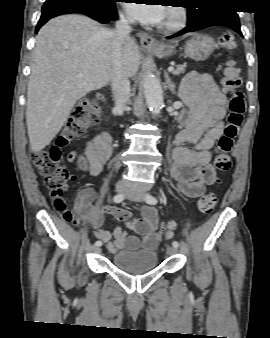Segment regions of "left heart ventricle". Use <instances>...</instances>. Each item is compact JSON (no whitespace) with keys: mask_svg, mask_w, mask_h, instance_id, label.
<instances>
[{"mask_svg":"<svg viewBox=\"0 0 270 338\" xmlns=\"http://www.w3.org/2000/svg\"><path fill=\"white\" fill-rule=\"evenodd\" d=\"M172 16V12L167 11L164 15V18L162 19L161 23L166 22L168 19H170Z\"/></svg>","mask_w":270,"mask_h":338,"instance_id":"b2bd125f","label":"left heart ventricle"}]
</instances>
